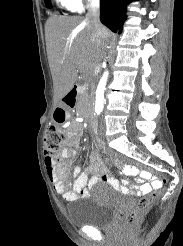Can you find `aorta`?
<instances>
[{
    "mask_svg": "<svg viewBox=\"0 0 183 246\" xmlns=\"http://www.w3.org/2000/svg\"><path fill=\"white\" fill-rule=\"evenodd\" d=\"M108 71H105L98 83L96 89V100H95V109L96 110H103L104 107V90L106 87V82L108 79Z\"/></svg>",
    "mask_w": 183,
    "mask_h": 246,
    "instance_id": "aorta-1",
    "label": "aorta"
}]
</instances>
